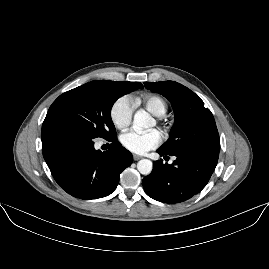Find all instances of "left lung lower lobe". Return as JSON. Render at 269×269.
<instances>
[{
  "label": "left lung lower lobe",
  "mask_w": 269,
  "mask_h": 269,
  "mask_svg": "<svg viewBox=\"0 0 269 269\" xmlns=\"http://www.w3.org/2000/svg\"><path fill=\"white\" fill-rule=\"evenodd\" d=\"M157 152L164 156H175L172 164L163 160L154 162L152 173L142 183L146 194L160 202L179 203L198 194L208 183L216 165V158L203 155L167 151L159 148Z\"/></svg>",
  "instance_id": "0a47b994"
}]
</instances>
